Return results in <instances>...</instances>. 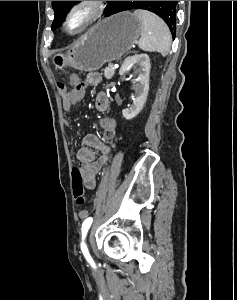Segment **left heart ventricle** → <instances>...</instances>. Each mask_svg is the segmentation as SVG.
Listing matches in <instances>:
<instances>
[{
    "mask_svg": "<svg viewBox=\"0 0 237 300\" xmlns=\"http://www.w3.org/2000/svg\"><path fill=\"white\" fill-rule=\"evenodd\" d=\"M76 25H77V20L75 22H73L71 27L74 28Z\"/></svg>",
    "mask_w": 237,
    "mask_h": 300,
    "instance_id": "obj_1",
    "label": "left heart ventricle"
}]
</instances>
